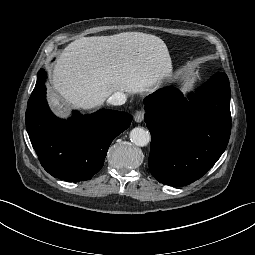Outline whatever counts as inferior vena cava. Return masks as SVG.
I'll list each match as a JSON object with an SVG mask.
<instances>
[{
  "label": "inferior vena cava",
  "instance_id": "1",
  "mask_svg": "<svg viewBox=\"0 0 255 255\" xmlns=\"http://www.w3.org/2000/svg\"><path fill=\"white\" fill-rule=\"evenodd\" d=\"M126 102V95L123 92H115L108 99L107 103L111 105H122Z\"/></svg>",
  "mask_w": 255,
  "mask_h": 255
}]
</instances>
